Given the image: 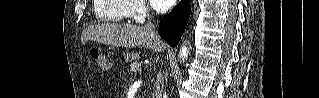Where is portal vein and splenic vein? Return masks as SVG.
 <instances>
[{
  "label": "portal vein and splenic vein",
  "mask_w": 319,
  "mask_h": 98,
  "mask_svg": "<svg viewBox=\"0 0 319 98\" xmlns=\"http://www.w3.org/2000/svg\"><path fill=\"white\" fill-rule=\"evenodd\" d=\"M140 69L139 65L136 64V63H133L130 65V70L133 71V72H136Z\"/></svg>",
  "instance_id": "obj_1"
}]
</instances>
